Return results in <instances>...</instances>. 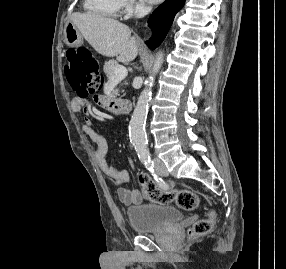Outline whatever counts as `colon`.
Masks as SVG:
<instances>
[{"label":"colon","instance_id":"1","mask_svg":"<svg viewBox=\"0 0 286 269\" xmlns=\"http://www.w3.org/2000/svg\"><path fill=\"white\" fill-rule=\"evenodd\" d=\"M68 64L66 66L67 79L79 95L94 94L97 90L98 66L93 55L84 48L71 49L67 52ZM140 195L148 200L169 203L175 200L185 210L194 209L199 202L198 195L189 190L179 191L175 194L163 192L154 181L145 174L138 177ZM214 213L193 225L189 234L192 237L207 234L213 227Z\"/></svg>","mask_w":286,"mask_h":269}]
</instances>
